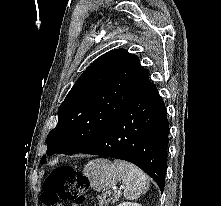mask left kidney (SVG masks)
<instances>
[{
    "instance_id": "obj_1",
    "label": "left kidney",
    "mask_w": 221,
    "mask_h": 206,
    "mask_svg": "<svg viewBox=\"0 0 221 206\" xmlns=\"http://www.w3.org/2000/svg\"><path fill=\"white\" fill-rule=\"evenodd\" d=\"M117 206H141V205L138 203H135V202H128L127 201V202L120 203Z\"/></svg>"
}]
</instances>
